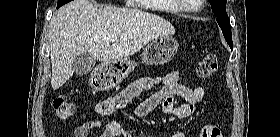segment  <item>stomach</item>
I'll return each instance as SVG.
<instances>
[{
    "label": "stomach",
    "mask_w": 280,
    "mask_h": 137,
    "mask_svg": "<svg viewBox=\"0 0 280 137\" xmlns=\"http://www.w3.org/2000/svg\"><path fill=\"white\" fill-rule=\"evenodd\" d=\"M178 42L165 35L154 39L142 53V62L148 65L168 63L178 50ZM136 63L130 59L107 61L100 65L99 76L91 82L95 90H109L118 85L135 68Z\"/></svg>",
    "instance_id": "1"
}]
</instances>
